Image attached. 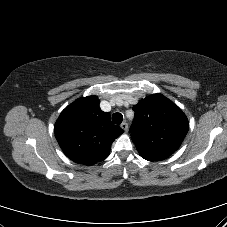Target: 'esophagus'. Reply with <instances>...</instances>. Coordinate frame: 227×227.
<instances>
[{
  "mask_svg": "<svg viewBox=\"0 0 227 227\" xmlns=\"http://www.w3.org/2000/svg\"><path fill=\"white\" fill-rule=\"evenodd\" d=\"M120 127L124 130V131H127L128 129V124L126 122H122Z\"/></svg>",
  "mask_w": 227,
  "mask_h": 227,
  "instance_id": "esophagus-1",
  "label": "esophagus"
}]
</instances>
